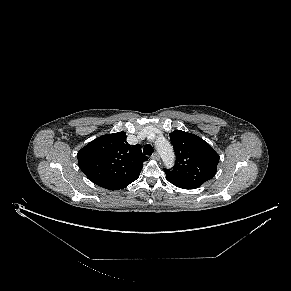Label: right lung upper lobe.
Segmentation results:
<instances>
[{
    "label": "right lung upper lobe",
    "mask_w": 291,
    "mask_h": 291,
    "mask_svg": "<svg viewBox=\"0 0 291 291\" xmlns=\"http://www.w3.org/2000/svg\"><path fill=\"white\" fill-rule=\"evenodd\" d=\"M77 158L83 173L108 190L123 189L135 181L148 159L139 144L127 143L125 132L96 138L78 152Z\"/></svg>",
    "instance_id": "cb5924a9"
}]
</instances>
